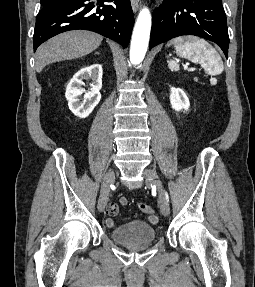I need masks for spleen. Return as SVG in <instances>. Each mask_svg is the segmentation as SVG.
Wrapping results in <instances>:
<instances>
[{
  "mask_svg": "<svg viewBox=\"0 0 255 287\" xmlns=\"http://www.w3.org/2000/svg\"><path fill=\"white\" fill-rule=\"evenodd\" d=\"M168 48L170 46H174L175 54L180 56V58H186V60H190V62H203L204 66L208 68L210 74L213 76H217V74H221L223 72V62L217 54L214 48H211L210 44H207L205 40H199V38H195V36H180V38H174V40H170L167 44ZM168 68L170 70H179V64L174 62V60H170L168 62Z\"/></svg>",
  "mask_w": 255,
  "mask_h": 287,
  "instance_id": "3e777b00",
  "label": "spleen"
}]
</instances>
